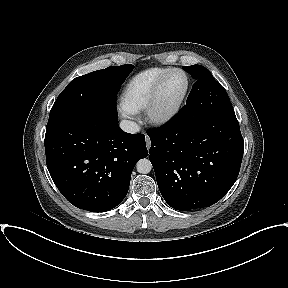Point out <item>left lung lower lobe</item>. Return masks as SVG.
<instances>
[{"instance_id": "obj_1", "label": "left lung lower lobe", "mask_w": 288, "mask_h": 288, "mask_svg": "<svg viewBox=\"0 0 288 288\" xmlns=\"http://www.w3.org/2000/svg\"><path fill=\"white\" fill-rule=\"evenodd\" d=\"M147 134L159 190L172 208L209 207L235 183L244 151L237 119L180 111Z\"/></svg>"}]
</instances>
